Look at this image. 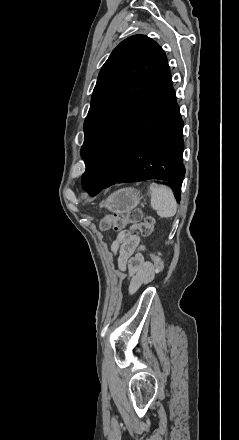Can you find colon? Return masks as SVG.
Returning a JSON list of instances; mask_svg holds the SVG:
<instances>
[{
    "label": "colon",
    "mask_w": 239,
    "mask_h": 440,
    "mask_svg": "<svg viewBox=\"0 0 239 440\" xmlns=\"http://www.w3.org/2000/svg\"><path fill=\"white\" fill-rule=\"evenodd\" d=\"M154 220L150 216L143 217L140 209L135 208L126 214H114L104 217L101 220L100 226L103 230L110 228L119 232L120 238H125L131 235L133 231H138L142 236L147 237L151 234ZM129 226V227H128ZM140 250H145L144 246ZM153 266L156 272H161L163 269V262L158 253H151Z\"/></svg>",
    "instance_id": "5ec220e1"
}]
</instances>
